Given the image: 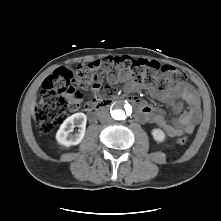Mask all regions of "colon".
Masks as SVG:
<instances>
[{"instance_id": "1", "label": "colon", "mask_w": 221, "mask_h": 221, "mask_svg": "<svg viewBox=\"0 0 221 221\" xmlns=\"http://www.w3.org/2000/svg\"><path fill=\"white\" fill-rule=\"evenodd\" d=\"M112 64L119 65L130 78L139 84H158L162 88L170 87L186 79V74L171 65L142 59H105L77 66L73 69L59 67L43 82L40 99L35 107V118L39 129L51 132L67 116V110L74 108L73 101L80 96L79 90L99 85L103 68ZM115 90L106 89V95L112 96ZM187 142L185 136L177 138L176 143Z\"/></svg>"}]
</instances>
